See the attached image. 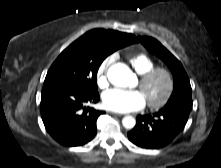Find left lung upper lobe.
I'll return each mask as SVG.
<instances>
[{
    "instance_id": "5c2ea615",
    "label": "left lung upper lobe",
    "mask_w": 221,
    "mask_h": 168,
    "mask_svg": "<svg viewBox=\"0 0 221 168\" xmlns=\"http://www.w3.org/2000/svg\"><path fill=\"white\" fill-rule=\"evenodd\" d=\"M139 40L150 53L161 58L172 72L174 90L164 108L177 105L192 107V92L189 78L180 61L156 39L151 37H139Z\"/></svg>"
}]
</instances>
